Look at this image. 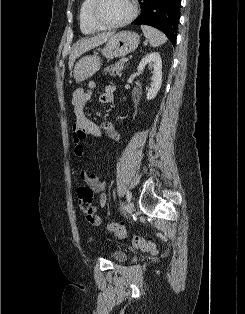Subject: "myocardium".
Returning a JSON list of instances; mask_svg holds the SVG:
<instances>
[{
  "label": "myocardium",
  "mask_w": 245,
  "mask_h": 314,
  "mask_svg": "<svg viewBox=\"0 0 245 314\" xmlns=\"http://www.w3.org/2000/svg\"><path fill=\"white\" fill-rule=\"evenodd\" d=\"M99 3H100V0H93L92 7H91V17L93 21L99 27L103 29H115V28L123 27L129 24L130 22H132L138 14V5H137L136 0H130L131 7H132L130 14L121 21H118L115 23H107V22H104L98 14Z\"/></svg>",
  "instance_id": "f54148a6"
}]
</instances>
